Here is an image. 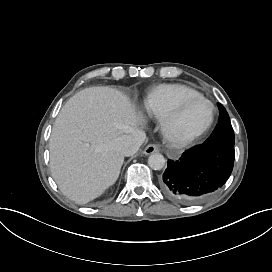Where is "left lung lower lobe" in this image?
I'll list each match as a JSON object with an SVG mask.
<instances>
[{"label":"left lung lower lobe","mask_w":272,"mask_h":272,"mask_svg":"<svg viewBox=\"0 0 272 272\" xmlns=\"http://www.w3.org/2000/svg\"><path fill=\"white\" fill-rule=\"evenodd\" d=\"M234 147L203 144L168 161L160 188L180 205L196 204L215 193L229 178L234 165Z\"/></svg>","instance_id":"0a47b994"}]
</instances>
